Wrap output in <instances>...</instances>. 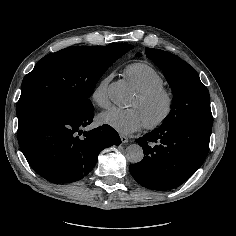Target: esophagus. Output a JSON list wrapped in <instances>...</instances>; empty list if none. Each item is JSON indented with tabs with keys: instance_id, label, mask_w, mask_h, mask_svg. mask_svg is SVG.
Masks as SVG:
<instances>
[{
	"instance_id": "34e87169",
	"label": "esophagus",
	"mask_w": 236,
	"mask_h": 236,
	"mask_svg": "<svg viewBox=\"0 0 236 236\" xmlns=\"http://www.w3.org/2000/svg\"><path fill=\"white\" fill-rule=\"evenodd\" d=\"M120 138H121L122 143L128 142V138L126 136H124L123 134H120Z\"/></svg>"
}]
</instances>
